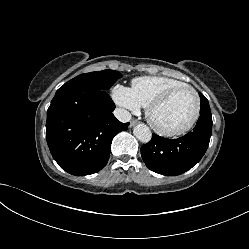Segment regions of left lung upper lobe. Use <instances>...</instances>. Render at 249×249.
Instances as JSON below:
<instances>
[{"mask_svg": "<svg viewBox=\"0 0 249 249\" xmlns=\"http://www.w3.org/2000/svg\"><path fill=\"white\" fill-rule=\"evenodd\" d=\"M200 100H201L200 114L201 115L211 114V110H210V107H209L208 100L201 93H200Z\"/></svg>", "mask_w": 249, "mask_h": 249, "instance_id": "left-lung-upper-lobe-1", "label": "left lung upper lobe"}]
</instances>
